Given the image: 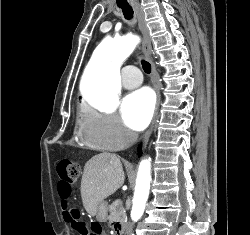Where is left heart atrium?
I'll return each mask as SVG.
<instances>
[{
    "instance_id": "39dd6f15",
    "label": "left heart atrium",
    "mask_w": 250,
    "mask_h": 235,
    "mask_svg": "<svg viewBox=\"0 0 250 235\" xmlns=\"http://www.w3.org/2000/svg\"><path fill=\"white\" fill-rule=\"evenodd\" d=\"M154 104V95L147 88L127 95L121 103V114L126 125L136 131L144 129L152 118Z\"/></svg>"
}]
</instances>
